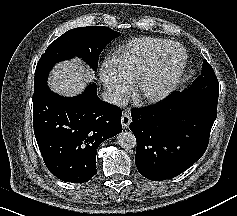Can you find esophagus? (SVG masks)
<instances>
[{
  "label": "esophagus",
  "mask_w": 237,
  "mask_h": 216,
  "mask_svg": "<svg viewBox=\"0 0 237 216\" xmlns=\"http://www.w3.org/2000/svg\"><path fill=\"white\" fill-rule=\"evenodd\" d=\"M131 120L132 119L129 111H124L122 113V120H121L123 129H127L129 127Z\"/></svg>",
  "instance_id": "obj_1"
}]
</instances>
